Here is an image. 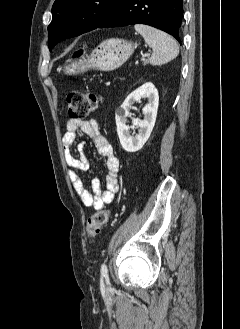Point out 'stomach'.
<instances>
[{
    "instance_id": "obj_1",
    "label": "stomach",
    "mask_w": 240,
    "mask_h": 329,
    "mask_svg": "<svg viewBox=\"0 0 240 329\" xmlns=\"http://www.w3.org/2000/svg\"><path fill=\"white\" fill-rule=\"evenodd\" d=\"M134 45L123 39H107L92 53L78 63L66 62L58 68L67 75L82 73L89 69L112 71L120 67L134 52Z\"/></svg>"
}]
</instances>
